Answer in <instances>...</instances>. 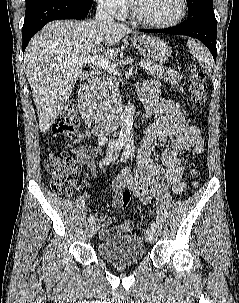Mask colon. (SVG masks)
<instances>
[{
	"instance_id": "colon-1",
	"label": "colon",
	"mask_w": 239,
	"mask_h": 303,
	"mask_svg": "<svg viewBox=\"0 0 239 303\" xmlns=\"http://www.w3.org/2000/svg\"><path fill=\"white\" fill-rule=\"evenodd\" d=\"M187 84L190 91L191 103L195 109H199L206 101V86L205 76L196 66L190 67ZM78 124L79 112L77 104L74 101H69L61 113L55 131L63 138L69 139L73 136ZM79 167V162L68 155L52 154L44 161V169L51 177V188L57 194H66L72 190L76 182V174ZM190 173L194 176L196 169L192 167ZM119 199L121 206L127 207L131 200L130 192H122Z\"/></svg>"
}]
</instances>
